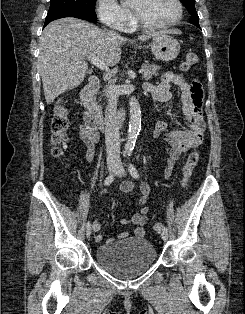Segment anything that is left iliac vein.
I'll list each match as a JSON object with an SVG mask.
<instances>
[{"instance_id": "4c4485c4", "label": "left iliac vein", "mask_w": 245, "mask_h": 314, "mask_svg": "<svg viewBox=\"0 0 245 314\" xmlns=\"http://www.w3.org/2000/svg\"><path fill=\"white\" fill-rule=\"evenodd\" d=\"M115 174L119 177H124L126 172H125V169H124V166L121 162H119L117 164V167H116V170H115ZM161 237L164 241H167L168 240V233L166 231H163L161 233Z\"/></svg>"}]
</instances>
